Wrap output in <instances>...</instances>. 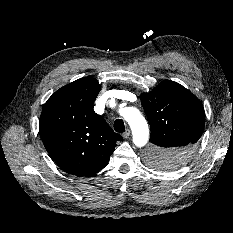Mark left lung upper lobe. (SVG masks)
<instances>
[{"label":"left lung upper lobe","mask_w":233,"mask_h":233,"mask_svg":"<svg viewBox=\"0 0 233 233\" xmlns=\"http://www.w3.org/2000/svg\"><path fill=\"white\" fill-rule=\"evenodd\" d=\"M147 114L153 145L146 151L147 163L159 170L180 168L193 155L205 125V111L200 100L182 85L164 80L150 93L141 95ZM162 139H178L182 144L169 150Z\"/></svg>","instance_id":"5c2ea615"}]
</instances>
